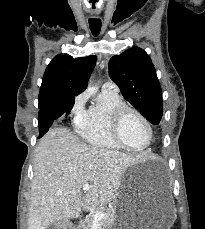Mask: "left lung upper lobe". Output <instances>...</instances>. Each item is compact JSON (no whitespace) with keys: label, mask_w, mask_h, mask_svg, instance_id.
Listing matches in <instances>:
<instances>
[{"label":"left lung upper lobe","mask_w":205,"mask_h":229,"mask_svg":"<svg viewBox=\"0 0 205 229\" xmlns=\"http://www.w3.org/2000/svg\"><path fill=\"white\" fill-rule=\"evenodd\" d=\"M110 78L129 101L152 124L163 114L162 91L148 54L134 47L113 56L108 64Z\"/></svg>","instance_id":"left-lung-upper-lobe-1"}]
</instances>
